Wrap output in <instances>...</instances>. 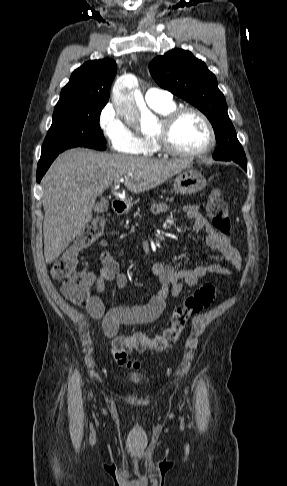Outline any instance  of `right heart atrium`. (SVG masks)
I'll list each match as a JSON object with an SVG mask.
<instances>
[{"label":"right heart atrium","instance_id":"right-heart-atrium-1","mask_svg":"<svg viewBox=\"0 0 287 486\" xmlns=\"http://www.w3.org/2000/svg\"><path fill=\"white\" fill-rule=\"evenodd\" d=\"M100 130L110 148L115 152L137 154L141 147L140 138L123 121L113 104L107 103L98 117Z\"/></svg>","mask_w":287,"mask_h":486}]
</instances>
